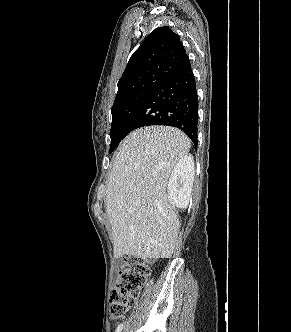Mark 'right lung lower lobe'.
<instances>
[{
    "instance_id": "1",
    "label": "right lung lower lobe",
    "mask_w": 291,
    "mask_h": 332,
    "mask_svg": "<svg viewBox=\"0 0 291 332\" xmlns=\"http://www.w3.org/2000/svg\"><path fill=\"white\" fill-rule=\"evenodd\" d=\"M198 96L191 66L159 83L129 120L126 135L143 126L166 125L184 131L197 146Z\"/></svg>"
}]
</instances>
